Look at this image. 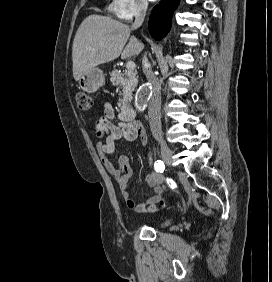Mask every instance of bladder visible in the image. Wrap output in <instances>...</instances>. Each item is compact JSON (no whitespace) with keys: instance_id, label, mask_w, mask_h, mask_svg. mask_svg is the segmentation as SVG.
Returning a JSON list of instances; mask_svg holds the SVG:
<instances>
[{"instance_id":"31cf9c89","label":"bladder","mask_w":272,"mask_h":282,"mask_svg":"<svg viewBox=\"0 0 272 282\" xmlns=\"http://www.w3.org/2000/svg\"><path fill=\"white\" fill-rule=\"evenodd\" d=\"M170 222H171V219H170V218H165V219H163V220L158 224V226H159V227H161V226H166V225H168Z\"/></svg>"}]
</instances>
